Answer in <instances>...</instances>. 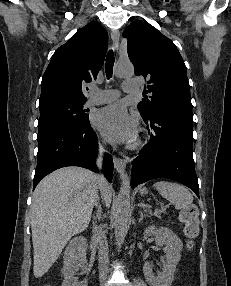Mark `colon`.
<instances>
[{
  "instance_id": "colon-1",
  "label": "colon",
  "mask_w": 231,
  "mask_h": 286,
  "mask_svg": "<svg viewBox=\"0 0 231 286\" xmlns=\"http://www.w3.org/2000/svg\"><path fill=\"white\" fill-rule=\"evenodd\" d=\"M197 215L198 211L194 205L184 207L179 215L180 221L184 226V234L189 241L194 239L199 231Z\"/></svg>"
}]
</instances>
